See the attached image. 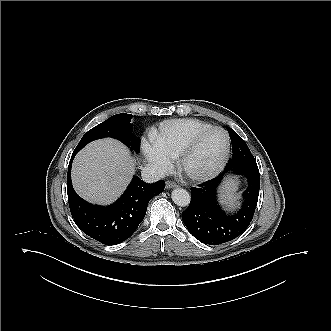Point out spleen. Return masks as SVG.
I'll return each instance as SVG.
<instances>
[{
	"instance_id": "obj_1",
	"label": "spleen",
	"mask_w": 331,
	"mask_h": 331,
	"mask_svg": "<svg viewBox=\"0 0 331 331\" xmlns=\"http://www.w3.org/2000/svg\"><path fill=\"white\" fill-rule=\"evenodd\" d=\"M238 179H228L224 182L220 190V202L229 209H233L238 203Z\"/></svg>"
}]
</instances>
